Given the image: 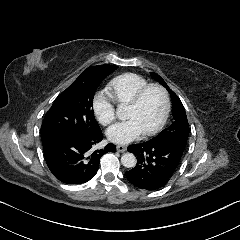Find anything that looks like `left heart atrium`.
<instances>
[{
    "label": "left heart atrium",
    "mask_w": 240,
    "mask_h": 240,
    "mask_svg": "<svg viewBox=\"0 0 240 240\" xmlns=\"http://www.w3.org/2000/svg\"><path fill=\"white\" fill-rule=\"evenodd\" d=\"M141 132L134 120H127L108 130L107 137L113 143L124 145L136 139Z\"/></svg>",
    "instance_id": "left-heart-atrium-1"
}]
</instances>
